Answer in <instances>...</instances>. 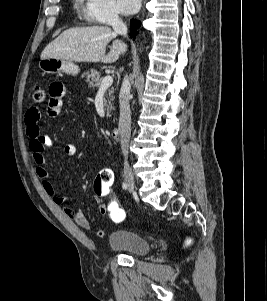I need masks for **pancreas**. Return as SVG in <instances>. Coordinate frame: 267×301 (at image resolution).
Masks as SVG:
<instances>
[{"mask_svg":"<svg viewBox=\"0 0 267 301\" xmlns=\"http://www.w3.org/2000/svg\"><path fill=\"white\" fill-rule=\"evenodd\" d=\"M83 75L86 76V82L88 83L89 87H91L92 89L100 87L102 78L97 70L91 69L90 72H85ZM113 93H114V89L113 88L109 89L106 96H109L110 99L107 98L104 100V106L107 112L106 115L107 117L110 116V112L113 109V104H112V101L114 100Z\"/></svg>","mask_w":267,"mask_h":301,"instance_id":"cf45deb5","label":"pancreas"}]
</instances>
